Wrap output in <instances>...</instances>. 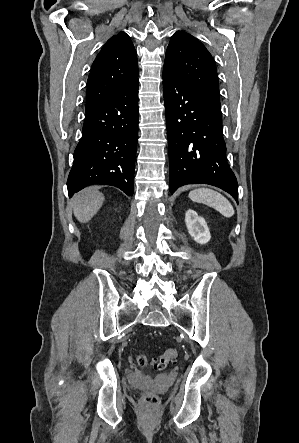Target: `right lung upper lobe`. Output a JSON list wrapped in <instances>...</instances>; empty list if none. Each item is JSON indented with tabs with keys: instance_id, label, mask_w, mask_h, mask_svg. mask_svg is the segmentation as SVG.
Wrapping results in <instances>:
<instances>
[{
	"instance_id": "right-lung-upper-lobe-1",
	"label": "right lung upper lobe",
	"mask_w": 299,
	"mask_h": 443,
	"mask_svg": "<svg viewBox=\"0 0 299 443\" xmlns=\"http://www.w3.org/2000/svg\"><path fill=\"white\" fill-rule=\"evenodd\" d=\"M138 79L136 51L129 36L111 37L96 57L87 81L86 109L124 89Z\"/></svg>"
}]
</instances>
